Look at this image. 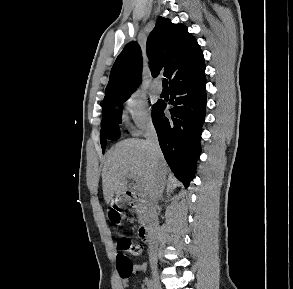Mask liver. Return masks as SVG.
<instances>
[{
    "label": "liver",
    "mask_w": 293,
    "mask_h": 289,
    "mask_svg": "<svg viewBox=\"0 0 293 289\" xmlns=\"http://www.w3.org/2000/svg\"><path fill=\"white\" fill-rule=\"evenodd\" d=\"M158 173L165 177L169 168L163 155H155L146 140L126 139L109 152L102 170L103 195L109 203L114 195L127 191L128 180L139 179L145 192H149Z\"/></svg>",
    "instance_id": "6515ba94"
}]
</instances>
